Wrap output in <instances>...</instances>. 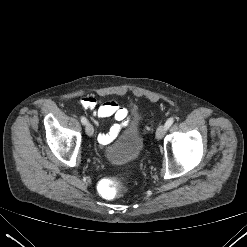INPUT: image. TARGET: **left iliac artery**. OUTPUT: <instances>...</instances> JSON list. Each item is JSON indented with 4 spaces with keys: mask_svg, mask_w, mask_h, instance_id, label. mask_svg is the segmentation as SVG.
Masks as SVG:
<instances>
[{
    "mask_svg": "<svg viewBox=\"0 0 247 247\" xmlns=\"http://www.w3.org/2000/svg\"><path fill=\"white\" fill-rule=\"evenodd\" d=\"M173 122H174V118L173 117L169 118L165 123L166 128L168 129L173 124Z\"/></svg>",
    "mask_w": 247,
    "mask_h": 247,
    "instance_id": "44dca946",
    "label": "left iliac artery"
}]
</instances>
